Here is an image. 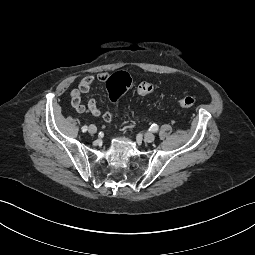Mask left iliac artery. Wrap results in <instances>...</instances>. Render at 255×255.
Masks as SVG:
<instances>
[{"instance_id": "obj_1", "label": "left iliac artery", "mask_w": 255, "mask_h": 255, "mask_svg": "<svg viewBox=\"0 0 255 255\" xmlns=\"http://www.w3.org/2000/svg\"><path fill=\"white\" fill-rule=\"evenodd\" d=\"M158 125L157 124H152V126H151V130L153 131V132H157L158 131Z\"/></svg>"}]
</instances>
